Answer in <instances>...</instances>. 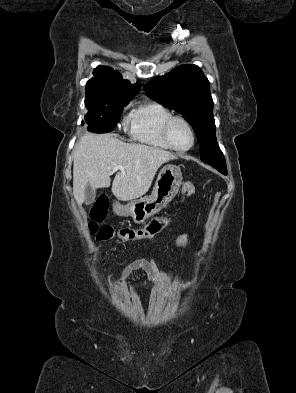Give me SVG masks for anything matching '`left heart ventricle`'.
Returning <instances> with one entry per match:
<instances>
[{
  "label": "left heart ventricle",
  "instance_id": "obj_1",
  "mask_svg": "<svg viewBox=\"0 0 296 393\" xmlns=\"http://www.w3.org/2000/svg\"><path fill=\"white\" fill-rule=\"evenodd\" d=\"M170 137L178 148H187L192 142V136L188 127L181 121H175L170 129Z\"/></svg>",
  "mask_w": 296,
  "mask_h": 393
}]
</instances>
